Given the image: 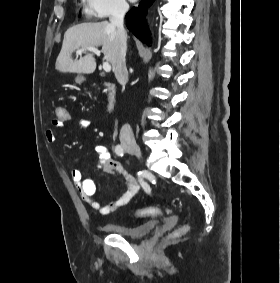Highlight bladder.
Returning <instances> with one entry per match:
<instances>
[{"label":"bladder","instance_id":"1","mask_svg":"<svg viewBox=\"0 0 280 283\" xmlns=\"http://www.w3.org/2000/svg\"><path fill=\"white\" fill-rule=\"evenodd\" d=\"M158 226L156 221H148L138 226H128L123 223H108L103 228L111 234L123 238L137 239L152 232Z\"/></svg>","mask_w":280,"mask_h":283}]
</instances>
